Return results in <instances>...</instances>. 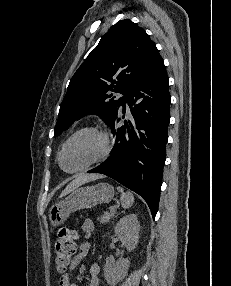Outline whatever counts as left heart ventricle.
<instances>
[{
	"label": "left heart ventricle",
	"instance_id": "obj_1",
	"mask_svg": "<svg viewBox=\"0 0 231 286\" xmlns=\"http://www.w3.org/2000/svg\"><path fill=\"white\" fill-rule=\"evenodd\" d=\"M103 150L102 139L95 133L77 135L66 146L62 156V166L72 171L97 158Z\"/></svg>",
	"mask_w": 231,
	"mask_h": 286
}]
</instances>
